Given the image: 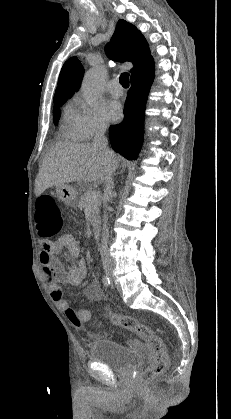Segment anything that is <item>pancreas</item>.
I'll use <instances>...</instances> for the list:
<instances>
[{"label": "pancreas", "instance_id": "1", "mask_svg": "<svg viewBox=\"0 0 231 419\" xmlns=\"http://www.w3.org/2000/svg\"><path fill=\"white\" fill-rule=\"evenodd\" d=\"M90 192L91 191L87 190L81 195L79 201L77 202V206L80 209H84L86 206H91L92 222H95L97 217L99 216V207L101 205V199L97 198L96 200L89 202L87 195Z\"/></svg>", "mask_w": 231, "mask_h": 419}]
</instances>
